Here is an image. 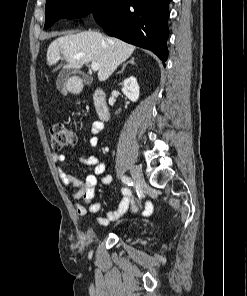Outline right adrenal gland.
Returning <instances> with one entry per match:
<instances>
[{"instance_id":"2a0ac1e0","label":"right adrenal gland","mask_w":247,"mask_h":296,"mask_svg":"<svg viewBox=\"0 0 247 296\" xmlns=\"http://www.w3.org/2000/svg\"><path fill=\"white\" fill-rule=\"evenodd\" d=\"M129 63L134 65V64H135L134 58H131L130 61H128L127 63L123 64L121 71H119V72H117V73H122V72L124 71L125 67H126Z\"/></svg>"}]
</instances>
